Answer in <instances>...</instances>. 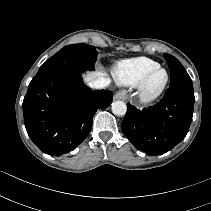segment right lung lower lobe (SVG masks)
<instances>
[{
    "instance_id": "98d812e1",
    "label": "right lung lower lobe",
    "mask_w": 211,
    "mask_h": 211,
    "mask_svg": "<svg viewBox=\"0 0 211 211\" xmlns=\"http://www.w3.org/2000/svg\"><path fill=\"white\" fill-rule=\"evenodd\" d=\"M112 99L109 90L88 88L78 72L35 76L23 100L27 133L40 150L60 156L87 137L95 112L107 108Z\"/></svg>"
}]
</instances>
